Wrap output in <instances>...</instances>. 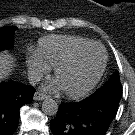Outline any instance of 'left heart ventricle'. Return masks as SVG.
I'll return each instance as SVG.
<instances>
[{"mask_svg": "<svg viewBox=\"0 0 135 135\" xmlns=\"http://www.w3.org/2000/svg\"><path fill=\"white\" fill-rule=\"evenodd\" d=\"M103 51L92 46L83 52L70 66L62 69L57 79L65 90L78 91L94 78L102 66Z\"/></svg>", "mask_w": 135, "mask_h": 135, "instance_id": "obj_1", "label": "left heart ventricle"}]
</instances>
